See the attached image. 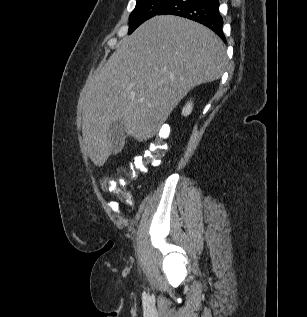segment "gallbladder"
Instances as JSON below:
<instances>
[{
    "instance_id": "bac80fb5",
    "label": "gallbladder",
    "mask_w": 307,
    "mask_h": 317,
    "mask_svg": "<svg viewBox=\"0 0 307 317\" xmlns=\"http://www.w3.org/2000/svg\"><path fill=\"white\" fill-rule=\"evenodd\" d=\"M109 139L111 144V153H119L125 144L124 124L122 119L115 121L111 126Z\"/></svg>"
}]
</instances>
